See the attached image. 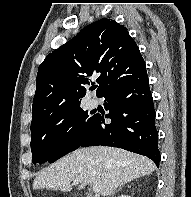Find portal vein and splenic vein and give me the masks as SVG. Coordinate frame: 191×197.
Instances as JSON below:
<instances>
[{
    "label": "portal vein and splenic vein",
    "mask_w": 191,
    "mask_h": 197,
    "mask_svg": "<svg viewBox=\"0 0 191 197\" xmlns=\"http://www.w3.org/2000/svg\"><path fill=\"white\" fill-rule=\"evenodd\" d=\"M74 183H76V184L79 183V180H75ZM100 188H101L100 185H94L92 187V190L94 193H98V192H100Z\"/></svg>",
    "instance_id": "1"
}]
</instances>
